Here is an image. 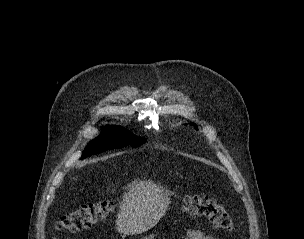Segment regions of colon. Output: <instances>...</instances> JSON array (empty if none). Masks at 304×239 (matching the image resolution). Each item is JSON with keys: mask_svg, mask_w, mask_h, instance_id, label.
<instances>
[{"mask_svg": "<svg viewBox=\"0 0 304 239\" xmlns=\"http://www.w3.org/2000/svg\"><path fill=\"white\" fill-rule=\"evenodd\" d=\"M114 207V202L109 200L81 204L63 215L57 222V228L69 233L87 229L105 219ZM184 210L191 215L207 218L215 229L230 232L234 228L228 210L212 197L188 195L184 198Z\"/></svg>", "mask_w": 304, "mask_h": 239, "instance_id": "colon-1", "label": "colon"}]
</instances>
